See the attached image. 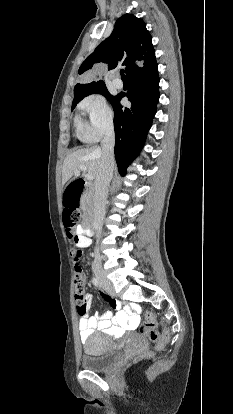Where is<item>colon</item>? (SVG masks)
<instances>
[{"label": "colon", "instance_id": "1", "mask_svg": "<svg viewBox=\"0 0 233 414\" xmlns=\"http://www.w3.org/2000/svg\"><path fill=\"white\" fill-rule=\"evenodd\" d=\"M80 220V213L76 210L75 212L65 211L64 213V222L66 226L67 236L71 241L70 246V253L72 258L78 257V260L82 256V250L76 243V233L74 231L75 225ZM82 271V269H81ZM85 276L83 271L80 275H75L74 279V300L75 305H83L86 302V295H85ZM80 315L81 312H78ZM139 331L141 334L146 336L149 340L156 343V349L161 350L165 347L167 342V336L161 335L159 331L156 329V319L153 313L147 312L145 314V320L141 324Z\"/></svg>", "mask_w": 233, "mask_h": 414}]
</instances>
